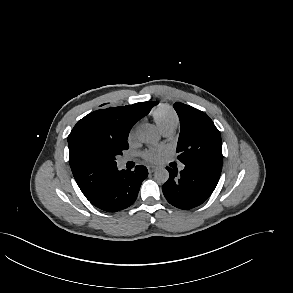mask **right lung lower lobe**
<instances>
[{"instance_id": "1", "label": "right lung lower lobe", "mask_w": 293, "mask_h": 293, "mask_svg": "<svg viewBox=\"0 0 293 293\" xmlns=\"http://www.w3.org/2000/svg\"><path fill=\"white\" fill-rule=\"evenodd\" d=\"M147 175V168L142 165L136 166L135 171L117 169L88 200L95 207L107 212L123 210L134 203Z\"/></svg>"}]
</instances>
